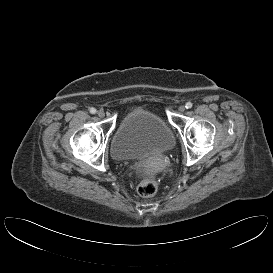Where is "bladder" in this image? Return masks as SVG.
<instances>
[{"label": "bladder", "instance_id": "obj_1", "mask_svg": "<svg viewBox=\"0 0 273 273\" xmlns=\"http://www.w3.org/2000/svg\"><path fill=\"white\" fill-rule=\"evenodd\" d=\"M175 146V136L157 114L136 108L128 111L110 141L111 156L116 161L147 160L167 153Z\"/></svg>", "mask_w": 273, "mask_h": 273}]
</instances>
